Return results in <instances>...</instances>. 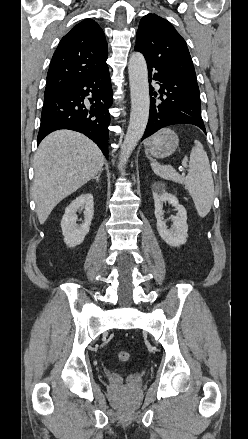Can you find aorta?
<instances>
[{
    "instance_id": "aorta-1",
    "label": "aorta",
    "mask_w": 248,
    "mask_h": 439,
    "mask_svg": "<svg viewBox=\"0 0 248 439\" xmlns=\"http://www.w3.org/2000/svg\"><path fill=\"white\" fill-rule=\"evenodd\" d=\"M128 73L131 93V113L127 133L122 145L120 162L125 164L141 139L149 117L150 97L147 64L140 52L129 59Z\"/></svg>"
}]
</instances>
